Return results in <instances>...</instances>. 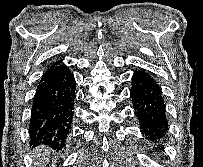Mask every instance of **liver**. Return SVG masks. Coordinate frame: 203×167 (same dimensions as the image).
<instances>
[{"label":"liver","instance_id":"1","mask_svg":"<svg viewBox=\"0 0 203 167\" xmlns=\"http://www.w3.org/2000/svg\"><path fill=\"white\" fill-rule=\"evenodd\" d=\"M33 156L37 160V167H45V162L49 156V150L46 146H40L33 150Z\"/></svg>","mask_w":203,"mask_h":167}]
</instances>
